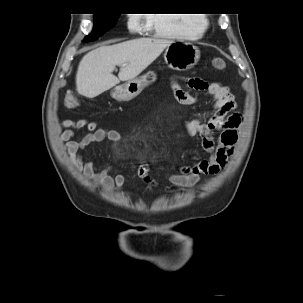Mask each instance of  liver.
Here are the masks:
<instances>
[{
    "mask_svg": "<svg viewBox=\"0 0 303 303\" xmlns=\"http://www.w3.org/2000/svg\"><path fill=\"white\" fill-rule=\"evenodd\" d=\"M173 41L138 38L114 45H103L87 53L79 63L76 89L80 95L94 98L120 81L136 78ZM120 66L118 77L112 74Z\"/></svg>",
    "mask_w": 303,
    "mask_h": 303,
    "instance_id": "1",
    "label": "liver"
}]
</instances>
